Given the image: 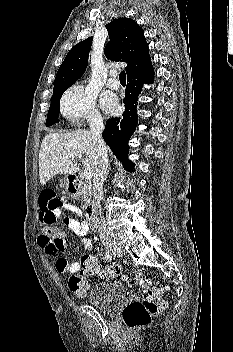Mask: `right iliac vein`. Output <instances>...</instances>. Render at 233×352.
I'll list each match as a JSON object with an SVG mask.
<instances>
[{"mask_svg": "<svg viewBox=\"0 0 233 352\" xmlns=\"http://www.w3.org/2000/svg\"><path fill=\"white\" fill-rule=\"evenodd\" d=\"M109 251L113 253V251H114V248H110V250H109Z\"/></svg>", "mask_w": 233, "mask_h": 352, "instance_id": "1", "label": "right iliac vein"}]
</instances>
